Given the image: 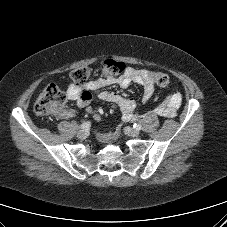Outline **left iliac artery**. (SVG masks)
Masks as SVG:
<instances>
[{
	"instance_id": "obj_1",
	"label": "left iliac artery",
	"mask_w": 227,
	"mask_h": 227,
	"mask_svg": "<svg viewBox=\"0 0 227 227\" xmlns=\"http://www.w3.org/2000/svg\"><path fill=\"white\" fill-rule=\"evenodd\" d=\"M133 127H134L136 130H140L142 126H141L140 124L135 123V124L133 125Z\"/></svg>"
}]
</instances>
